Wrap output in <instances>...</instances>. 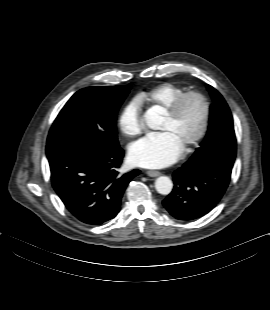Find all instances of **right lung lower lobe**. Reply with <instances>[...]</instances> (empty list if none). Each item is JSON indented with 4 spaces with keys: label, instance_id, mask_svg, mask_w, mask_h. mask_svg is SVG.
Returning a JSON list of instances; mask_svg holds the SVG:
<instances>
[{
    "label": "right lung lower lobe",
    "instance_id": "right-lung-lower-lobe-1",
    "mask_svg": "<svg viewBox=\"0 0 270 310\" xmlns=\"http://www.w3.org/2000/svg\"><path fill=\"white\" fill-rule=\"evenodd\" d=\"M46 154L54 190L73 216L90 225L118 214L128 183L139 174V170L123 175L116 171L124 156L120 147L50 144Z\"/></svg>",
    "mask_w": 270,
    "mask_h": 310
}]
</instances>
